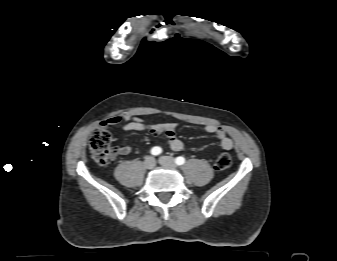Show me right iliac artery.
Wrapping results in <instances>:
<instances>
[{
    "label": "right iliac artery",
    "instance_id": "82829eb1",
    "mask_svg": "<svg viewBox=\"0 0 337 261\" xmlns=\"http://www.w3.org/2000/svg\"><path fill=\"white\" fill-rule=\"evenodd\" d=\"M161 152H162V149L158 146H155L151 149V154L155 156L161 154Z\"/></svg>",
    "mask_w": 337,
    "mask_h": 261
}]
</instances>
